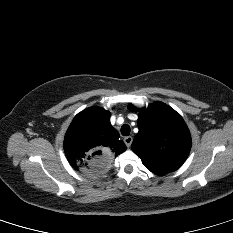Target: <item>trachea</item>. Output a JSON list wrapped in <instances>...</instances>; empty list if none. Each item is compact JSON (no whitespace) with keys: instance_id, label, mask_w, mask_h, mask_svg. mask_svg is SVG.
Returning a JSON list of instances; mask_svg holds the SVG:
<instances>
[{"instance_id":"obj_1","label":"trachea","mask_w":233,"mask_h":233,"mask_svg":"<svg viewBox=\"0 0 233 233\" xmlns=\"http://www.w3.org/2000/svg\"><path fill=\"white\" fill-rule=\"evenodd\" d=\"M121 134L123 136H128L130 134V126L128 124H124L121 127Z\"/></svg>"}]
</instances>
